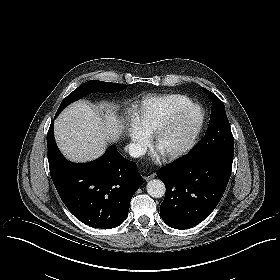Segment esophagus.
Listing matches in <instances>:
<instances>
[{
  "mask_svg": "<svg viewBox=\"0 0 280 280\" xmlns=\"http://www.w3.org/2000/svg\"><path fill=\"white\" fill-rule=\"evenodd\" d=\"M155 177V174L154 173H152V174H150V175H148V176H144L143 178L145 179V180H151V179H153Z\"/></svg>",
  "mask_w": 280,
  "mask_h": 280,
  "instance_id": "1",
  "label": "esophagus"
}]
</instances>
